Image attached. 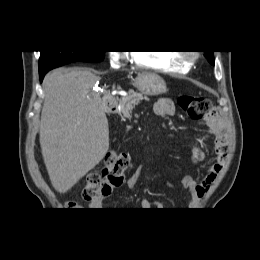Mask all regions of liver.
Segmentation results:
<instances>
[{"label": "liver", "instance_id": "6515ba94", "mask_svg": "<svg viewBox=\"0 0 260 260\" xmlns=\"http://www.w3.org/2000/svg\"><path fill=\"white\" fill-rule=\"evenodd\" d=\"M99 80L90 70L64 68L44 78L39 140L52 186L59 193L69 191L109 149L104 110L108 94L101 98L94 89Z\"/></svg>", "mask_w": 260, "mask_h": 260}]
</instances>
